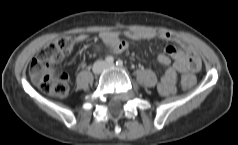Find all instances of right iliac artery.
<instances>
[{
	"label": "right iliac artery",
	"mask_w": 238,
	"mask_h": 145,
	"mask_svg": "<svg viewBox=\"0 0 238 145\" xmlns=\"http://www.w3.org/2000/svg\"><path fill=\"white\" fill-rule=\"evenodd\" d=\"M105 62L108 63V64H112L114 62V57L112 56H107L105 58Z\"/></svg>",
	"instance_id": "right-iliac-artery-1"
}]
</instances>
